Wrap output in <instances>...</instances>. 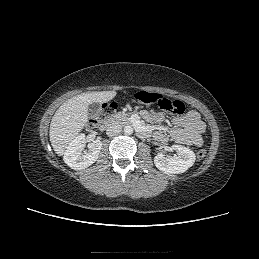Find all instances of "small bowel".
<instances>
[{"label":"small bowel","mask_w":259,"mask_h":259,"mask_svg":"<svg viewBox=\"0 0 259 259\" xmlns=\"http://www.w3.org/2000/svg\"><path fill=\"white\" fill-rule=\"evenodd\" d=\"M140 115L147 122L154 124L161 123L164 119L163 113L154 110H142ZM204 131L205 124L199 113L191 110L172 120V127L168 134L163 130H157L154 133V138L160 142L172 140L179 144L201 146Z\"/></svg>","instance_id":"c3829d8e"}]
</instances>
